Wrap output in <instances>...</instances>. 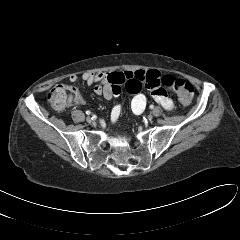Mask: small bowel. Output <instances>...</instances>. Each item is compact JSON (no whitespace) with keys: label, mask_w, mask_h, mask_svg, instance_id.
Instances as JSON below:
<instances>
[{"label":"small bowel","mask_w":240,"mask_h":240,"mask_svg":"<svg viewBox=\"0 0 240 240\" xmlns=\"http://www.w3.org/2000/svg\"><path fill=\"white\" fill-rule=\"evenodd\" d=\"M82 79L89 85L94 86V92L103 96L106 100L117 97L121 93V85H125L127 91L133 95L131 109L135 115H140L147 103L146 96L141 92L142 88L147 89L152 98L166 110H172L174 103L168 96L166 86L163 84V77L158 70H136L125 72H85ZM78 74H71V82L78 81ZM82 97L76 90L71 99L73 104L82 103ZM122 113V105L117 104L111 112V119L117 122Z\"/></svg>","instance_id":"obj_1"}]
</instances>
